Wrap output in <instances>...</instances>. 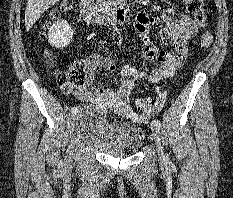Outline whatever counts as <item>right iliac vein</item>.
I'll use <instances>...</instances> for the list:
<instances>
[{
	"mask_svg": "<svg viewBox=\"0 0 233 198\" xmlns=\"http://www.w3.org/2000/svg\"><path fill=\"white\" fill-rule=\"evenodd\" d=\"M76 117V115H75ZM72 162V156L70 154H67L65 157V164L69 165Z\"/></svg>",
	"mask_w": 233,
	"mask_h": 198,
	"instance_id": "63e3f726",
	"label": "right iliac vein"
}]
</instances>
